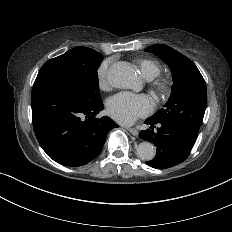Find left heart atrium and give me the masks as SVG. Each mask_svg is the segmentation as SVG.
Returning a JSON list of instances; mask_svg holds the SVG:
<instances>
[{"mask_svg": "<svg viewBox=\"0 0 232 232\" xmlns=\"http://www.w3.org/2000/svg\"><path fill=\"white\" fill-rule=\"evenodd\" d=\"M107 111L118 122L129 125L147 115L151 111V104L146 96L120 93L108 101Z\"/></svg>", "mask_w": 232, "mask_h": 232, "instance_id": "39dd6f15", "label": "left heart atrium"}]
</instances>
